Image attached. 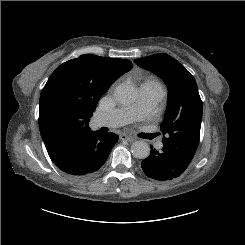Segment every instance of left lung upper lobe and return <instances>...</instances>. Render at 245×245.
Wrapping results in <instances>:
<instances>
[{"label": "left lung upper lobe", "instance_id": "5c2ea615", "mask_svg": "<svg viewBox=\"0 0 245 245\" xmlns=\"http://www.w3.org/2000/svg\"><path fill=\"white\" fill-rule=\"evenodd\" d=\"M134 62L157 73L167 84L168 106L160 129L168 137H163V144L193 158L199 143L203 109L194 77L167 54H154Z\"/></svg>", "mask_w": 245, "mask_h": 245}]
</instances>
